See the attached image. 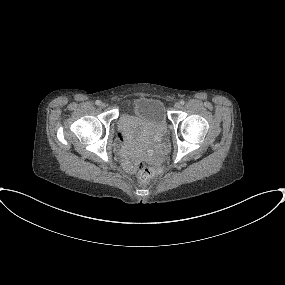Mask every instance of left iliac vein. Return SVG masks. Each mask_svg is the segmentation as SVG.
I'll list each match as a JSON object with an SVG mask.
<instances>
[{"instance_id":"left-iliac-vein-1","label":"left iliac vein","mask_w":285,"mask_h":285,"mask_svg":"<svg viewBox=\"0 0 285 285\" xmlns=\"http://www.w3.org/2000/svg\"><path fill=\"white\" fill-rule=\"evenodd\" d=\"M175 109H179L181 107V104L179 102L174 104Z\"/></svg>"}]
</instances>
